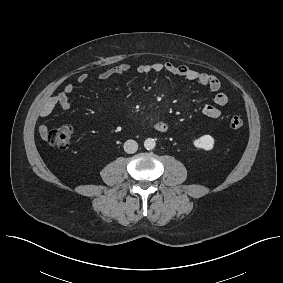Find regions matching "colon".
<instances>
[{"label":"colon","instance_id":"obj_1","mask_svg":"<svg viewBox=\"0 0 283 283\" xmlns=\"http://www.w3.org/2000/svg\"><path fill=\"white\" fill-rule=\"evenodd\" d=\"M233 129H239L243 126L244 121L239 116L231 117L229 121ZM73 136V127L69 124L61 125L57 128L51 129L47 135V142L54 148L65 150L70 146Z\"/></svg>","mask_w":283,"mask_h":283}]
</instances>
